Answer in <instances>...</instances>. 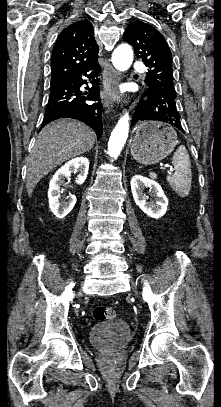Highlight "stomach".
I'll list each match as a JSON object with an SVG mask.
<instances>
[{"label": "stomach", "instance_id": "0dacf381", "mask_svg": "<svg viewBox=\"0 0 221 407\" xmlns=\"http://www.w3.org/2000/svg\"><path fill=\"white\" fill-rule=\"evenodd\" d=\"M177 143V133L171 126L157 121H144L135 128L131 155L141 164H156L167 157Z\"/></svg>", "mask_w": 221, "mask_h": 407}]
</instances>
